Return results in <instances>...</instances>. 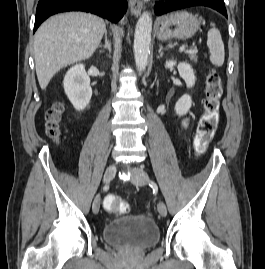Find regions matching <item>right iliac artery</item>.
<instances>
[{
    "label": "right iliac artery",
    "instance_id": "right-iliac-artery-1",
    "mask_svg": "<svg viewBox=\"0 0 265 269\" xmlns=\"http://www.w3.org/2000/svg\"><path fill=\"white\" fill-rule=\"evenodd\" d=\"M108 186H105L104 189H107Z\"/></svg>",
    "mask_w": 265,
    "mask_h": 269
}]
</instances>
